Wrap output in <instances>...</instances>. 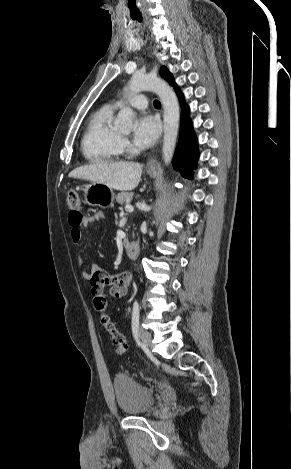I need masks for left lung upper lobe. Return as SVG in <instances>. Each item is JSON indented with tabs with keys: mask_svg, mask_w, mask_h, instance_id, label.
<instances>
[{
	"mask_svg": "<svg viewBox=\"0 0 291 469\" xmlns=\"http://www.w3.org/2000/svg\"><path fill=\"white\" fill-rule=\"evenodd\" d=\"M160 75H161L162 78H164L170 84L174 82L173 75L170 73V71L165 66L161 67Z\"/></svg>",
	"mask_w": 291,
	"mask_h": 469,
	"instance_id": "obj_1",
	"label": "left lung upper lobe"
}]
</instances>
